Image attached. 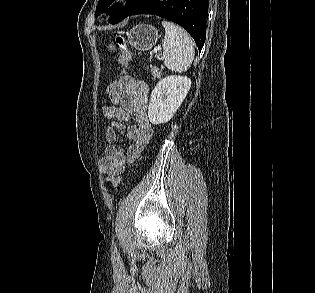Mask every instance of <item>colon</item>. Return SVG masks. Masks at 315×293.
I'll list each match as a JSON object with an SVG mask.
<instances>
[{
    "label": "colon",
    "mask_w": 315,
    "mask_h": 293,
    "mask_svg": "<svg viewBox=\"0 0 315 293\" xmlns=\"http://www.w3.org/2000/svg\"><path fill=\"white\" fill-rule=\"evenodd\" d=\"M116 43L120 48V56H119V64L123 68L124 72L126 71L129 61L131 58V53L126 45L125 39L122 36H117L116 38ZM110 85L106 88V93L107 94H112L113 92L118 91V86L120 83L119 78H110L109 80ZM122 181V175L121 174H115L111 175L108 179V183L113 187V188H118L121 184Z\"/></svg>",
    "instance_id": "colon-1"
}]
</instances>
